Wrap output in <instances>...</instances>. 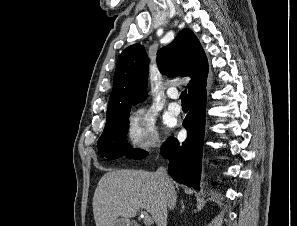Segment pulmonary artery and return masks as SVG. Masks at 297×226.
Returning a JSON list of instances; mask_svg holds the SVG:
<instances>
[{"label": "pulmonary artery", "mask_w": 297, "mask_h": 226, "mask_svg": "<svg viewBox=\"0 0 297 226\" xmlns=\"http://www.w3.org/2000/svg\"><path fill=\"white\" fill-rule=\"evenodd\" d=\"M169 97L172 99H176L177 98V93L176 91H170L168 93ZM168 111L172 114V115H178L181 112V105L176 103V102H171L168 105Z\"/></svg>", "instance_id": "obj_1"}]
</instances>
